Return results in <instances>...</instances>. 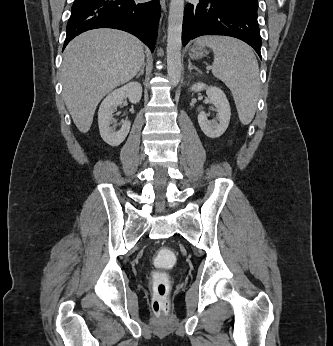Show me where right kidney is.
<instances>
[{
  "label": "right kidney",
  "instance_id": "obj_1",
  "mask_svg": "<svg viewBox=\"0 0 333 346\" xmlns=\"http://www.w3.org/2000/svg\"><path fill=\"white\" fill-rule=\"evenodd\" d=\"M142 96V86L138 82H130L123 87L112 91L102 101L98 111V125L102 139L111 146L120 145L129 133L131 123L125 121L119 130L111 127L114 122L113 113L117 106L121 105L125 98L133 104L140 101Z\"/></svg>",
  "mask_w": 333,
  "mask_h": 346
}]
</instances>
